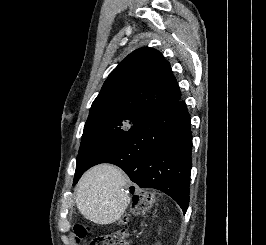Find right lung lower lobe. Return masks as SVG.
I'll use <instances>...</instances> for the list:
<instances>
[{"label": "right lung lower lobe", "mask_w": 266, "mask_h": 245, "mask_svg": "<svg viewBox=\"0 0 266 245\" xmlns=\"http://www.w3.org/2000/svg\"><path fill=\"white\" fill-rule=\"evenodd\" d=\"M191 151L190 114L179 99L143 117L82 174L99 163L115 164L141 188L158 189L172 197L185 213L189 203Z\"/></svg>", "instance_id": "1"}]
</instances>
